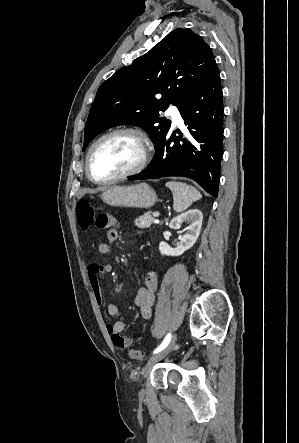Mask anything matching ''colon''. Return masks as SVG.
Listing matches in <instances>:
<instances>
[{"label": "colon", "mask_w": 299, "mask_h": 443, "mask_svg": "<svg viewBox=\"0 0 299 443\" xmlns=\"http://www.w3.org/2000/svg\"><path fill=\"white\" fill-rule=\"evenodd\" d=\"M76 213L78 224L81 229H89L90 227L97 225L95 210L89 201L85 199L79 200L76 205ZM129 356L132 359L139 361L144 359V353L138 349H130Z\"/></svg>", "instance_id": "5ec220e1"}]
</instances>
